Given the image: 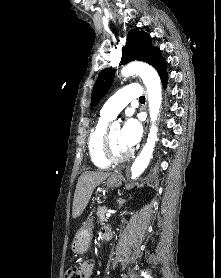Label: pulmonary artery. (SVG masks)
Returning a JSON list of instances; mask_svg holds the SVG:
<instances>
[{"instance_id": "obj_1", "label": "pulmonary artery", "mask_w": 221, "mask_h": 278, "mask_svg": "<svg viewBox=\"0 0 221 278\" xmlns=\"http://www.w3.org/2000/svg\"><path fill=\"white\" fill-rule=\"evenodd\" d=\"M142 96V90L137 84H129L120 89L102 107L101 116L111 120L133 99Z\"/></svg>"}]
</instances>
